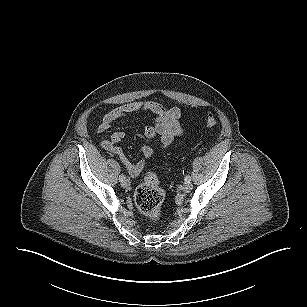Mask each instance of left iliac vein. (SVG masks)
Here are the masks:
<instances>
[{"instance_id": "1", "label": "left iliac vein", "mask_w": 307, "mask_h": 307, "mask_svg": "<svg viewBox=\"0 0 307 307\" xmlns=\"http://www.w3.org/2000/svg\"><path fill=\"white\" fill-rule=\"evenodd\" d=\"M192 188H193V185H192L191 181H185L183 186H182V190L184 192H189Z\"/></svg>"}]
</instances>
